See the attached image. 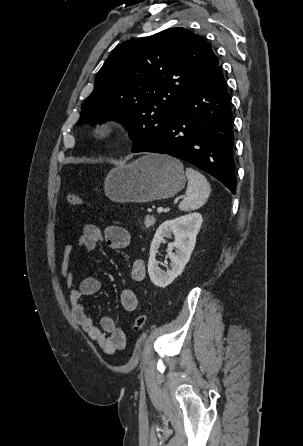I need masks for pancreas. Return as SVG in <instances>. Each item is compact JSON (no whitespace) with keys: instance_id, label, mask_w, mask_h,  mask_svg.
<instances>
[{"instance_id":"obj_1","label":"pancreas","mask_w":303,"mask_h":446,"mask_svg":"<svg viewBox=\"0 0 303 446\" xmlns=\"http://www.w3.org/2000/svg\"><path fill=\"white\" fill-rule=\"evenodd\" d=\"M155 221H156V219H155L154 217H152V216H146V217H145V222H144L145 227H146V228H150V227H152V226L155 224Z\"/></svg>"}]
</instances>
